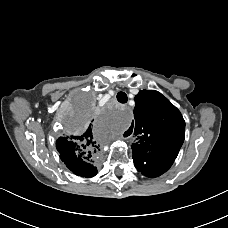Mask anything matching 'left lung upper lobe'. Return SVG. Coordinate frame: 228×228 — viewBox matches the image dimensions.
<instances>
[{
  "label": "left lung upper lobe",
  "mask_w": 228,
  "mask_h": 228,
  "mask_svg": "<svg viewBox=\"0 0 228 228\" xmlns=\"http://www.w3.org/2000/svg\"><path fill=\"white\" fill-rule=\"evenodd\" d=\"M135 103V119L128 129L137 138L132 144L133 154L175 160L185 137V121L180 111L155 90L140 91Z\"/></svg>",
  "instance_id": "left-lung-upper-lobe-1"
}]
</instances>
